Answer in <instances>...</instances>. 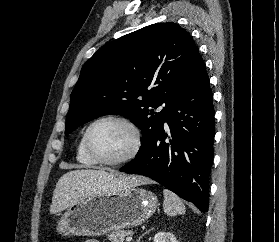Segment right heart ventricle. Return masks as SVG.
<instances>
[{"mask_svg": "<svg viewBox=\"0 0 279 242\" xmlns=\"http://www.w3.org/2000/svg\"><path fill=\"white\" fill-rule=\"evenodd\" d=\"M76 160L84 166L91 167L96 163L88 156L84 147V134L81 136L76 148Z\"/></svg>", "mask_w": 279, "mask_h": 242, "instance_id": "obj_1", "label": "right heart ventricle"}]
</instances>
